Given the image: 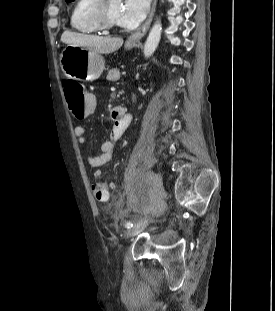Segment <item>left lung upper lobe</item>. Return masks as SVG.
<instances>
[{"mask_svg": "<svg viewBox=\"0 0 275 311\" xmlns=\"http://www.w3.org/2000/svg\"><path fill=\"white\" fill-rule=\"evenodd\" d=\"M67 2H71V1H74V0H66Z\"/></svg>", "mask_w": 275, "mask_h": 311, "instance_id": "obj_1", "label": "left lung upper lobe"}]
</instances>
